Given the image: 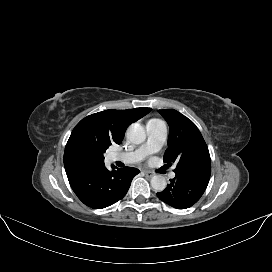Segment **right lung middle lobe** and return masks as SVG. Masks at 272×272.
Instances as JSON below:
<instances>
[{"instance_id": "1", "label": "right lung middle lobe", "mask_w": 272, "mask_h": 272, "mask_svg": "<svg viewBox=\"0 0 272 272\" xmlns=\"http://www.w3.org/2000/svg\"><path fill=\"white\" fill-rule=\"evenodd\" d=\"M111 144L102 139L85 136L78 141V149L81 153L96 162L104 163L103 154Z\"/></svg>"}]
</instances>
